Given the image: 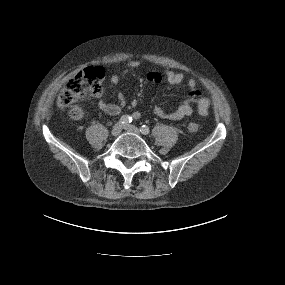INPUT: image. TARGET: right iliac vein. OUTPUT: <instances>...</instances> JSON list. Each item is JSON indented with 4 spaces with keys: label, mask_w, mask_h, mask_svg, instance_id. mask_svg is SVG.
Wrapping results in <instances>:
<instances>
[{
    "label": "right iliac vein",
    "mask_w": 285,
    "mask_h": 285,
    "mask_svg": "<svg viewBox=\"0 0 285 285\" xmlns=\"http://www.w3.org/2000/svg\"><path fill=\"white\" fill-rule=\"evenodd\" d=\"M122 128H123V125L121 123H116L111 130L112 136L114 137L118 136L121 133Z\"/></svg>",
    "instance_id": "63e3f726"
}]
</instances>
